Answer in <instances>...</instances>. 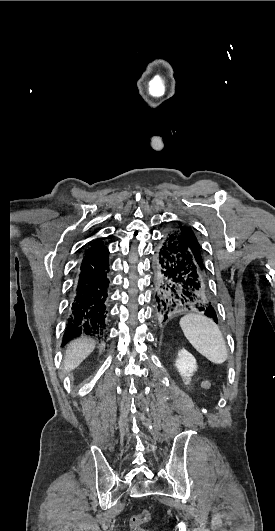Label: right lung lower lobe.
Here are the masks:
<instances>
[{
	"instance_id": "1",
	"label": "right lung lower lobe",
	"mask_w": 275,
	"mask_h": 531,
	"mask_svg": "<svg viewBox=\"0 0 275 531\" xmlns=\"http://www.w3.org/2000/svg\"><path fill=\"white\" fill-rule=\"evenodd\" d=\"M109 251L98 238L85 251L71 298V310L63 336L64 343L81 334L102 337L105 331Z\"/></svg>"
}]
</instances>
